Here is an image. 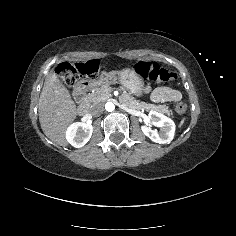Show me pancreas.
<instances>
[{"instance_id": "cf45deb5", "label": "pancreas", "mask_w": 236, "mask_h": 236, "mask_svg": "<svg viewBox=\"0 0 236 236\" xmlns=\"http://www.w3.org/2000/svg\"><path fill=\"white\" fill-rule=\"evenodd\" d=\"M123 90V93L119 96V102L124 104L126 107L135 110H155L161 114H171V110L168 109L166 105H154V104H147L145 102H140L136 100L134 97L130 95V93L126 92L123 87H120ZM113 89L108 84H103L100 87H94L92 92L89 93L85 98L84 101L88 105L97 104L99 102L106 101L110 96Z\"/></svg>"}]
</instances>
